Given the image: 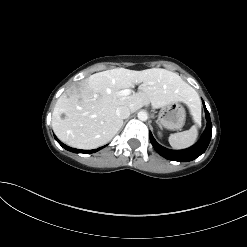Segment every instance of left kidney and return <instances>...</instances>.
I'll return each instance as SVG.
<instances>
[{
    "label": "left kidney",
    "mask_w": 247,
    "mask_h": 247,
    "mask_svg": "<svg viewBox=\"0 0 247 247\" xmlns=\"http://www.w3.org/2000/svg\"><path fill=\"white\" fill-rule=\"evenodd\" d=\"M158 136L161 137L162 136L161 133H158Z\"/></svg>",
    "instance_id": "5707ae66"
}]
</instances>
